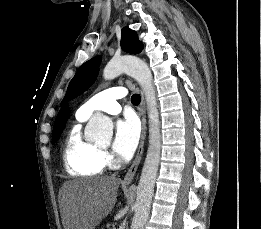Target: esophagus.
I'll list each match as a JSON object with an SVG mask.
<instances>
[{
	"label": "esophagus",
	"instance_id": "34e87169",
	"mask_svg": "<svg viewBox=\"0 0 261 229\" xmlns=\"http://www.w3.org/2000/svg\"><path fill=\"white\" fill-rule=\"evenodd\" d=\"M140 92H141L140 112H141V120H142L141 137H140L139 147H138L135 159H134L131 167L129 168L127 174L124 177V180H123L124 184L132 183V180L134 178V175L137 172V169L139 167V164H140V161L142 158L145 139H146V132H147L146 105H145V99H144V94H143L142 89H140Z\"/></svg>",
	"mask_w": 261,
	"mask_h": 229
}]
</instances>
